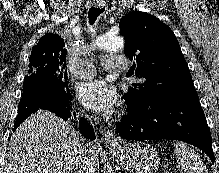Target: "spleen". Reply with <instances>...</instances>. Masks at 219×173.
I'll use <instances>...</instances> for the list:
<instances>
[{
	"label": "spleen",
	"instance_id": "3e777b00",
	"mask_svg": "<svg viewBox=\"0 0 219 173\" xmlns=\"http://www.w3.org/2000/svg\"><path fill=\"white\" fill-rule=\"evenodd\" d=\"M174 151L178 166L185 173H208L198 154L185 143L177 142Z\"/></svg>",
	"mask_w": 219,
	"mask_h": 173
}]
</instances>
